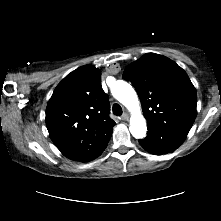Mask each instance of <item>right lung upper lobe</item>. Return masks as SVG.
Wrapping results in <instances>:
<instances>
[{
	"mask_svg": "<svg viewBox=\"0 0 221 221\" xmlns=\"http://www.w3.org/2000/svg\"><path fill=\"white\" fill-rule=\"evenodd\" d=\"M101 72L91 65L68 74L55 88L46 109V125L55 146L69 159L83 161L112 135Z\"/></svg>",
	"mask_w": 221,
	"mask_h": 221,
	"instance_id": "obj_1",
	"label": "right lung upper lobe"
}]
</instances>
